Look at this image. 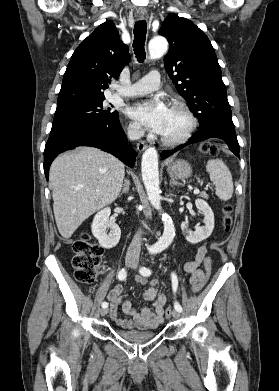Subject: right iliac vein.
Wrapping results in <instances>:
<instances>
[{
    "instance_id": "right-iliac-vein-1",
    "label": "right iliac vein",
    "mask_w": 279,
    "mask_h": 391,
    "mask_svg": "<svg viewBox=\"0 0 279 391\" xmlns=\"http://www.w3.org/2000/svg\"><path fill=\"white\" fill-rule=\"evenodd\" d=\"M125 263H126L127 266L130 267V266L135 264V258L133 256H127L126 260H125ZM107 313H108V309H106V308H103V309L100 310V314L102 316L107 315Z\"/></svg>"
}]
</instances>
